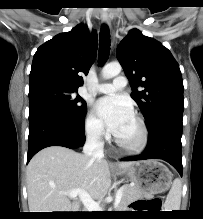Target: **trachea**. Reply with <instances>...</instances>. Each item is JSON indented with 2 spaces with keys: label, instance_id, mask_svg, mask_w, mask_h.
<instances>
[{
  "label": "trachea",
  "instance_id": "1",
  "mask_svg": "<svg viewBox=\"0 0 203 219\" xmlns=\"http://www.w3.org/2000/svg\"><path fill=\"white\" fill-rule=\"evenodd\" d=\"M110 51V31L107 25H103L99 35V62H106Z\"/></svg>",
  "mask_w": 203,
  "mask_h": 219
}]
</instances>
